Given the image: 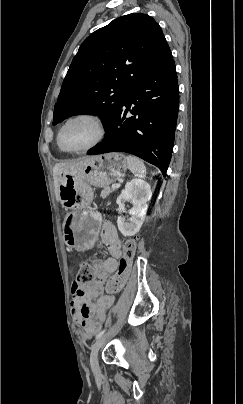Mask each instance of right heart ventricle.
Returning a JSON list of instances; mask_svg holds the SVG:
<instances>
[{
    "instance_id": "e07e8e85",
    "label": "right heart ventricle",
    "mask_w": 243,
    "mask_h": 404,
    "mask_svg": "<svg viewBox=\"0 0 243 404\" xmlns=\"http://www.w3.org/2000/svg\"><path fill=\"white\" fill-rule=\"evenodd\" d=\"M57 145H58V142H57ZM58 148L62 153H66V151H64L62 148H60L59 145H58Z\"/></svg>"
}]
</instances>
